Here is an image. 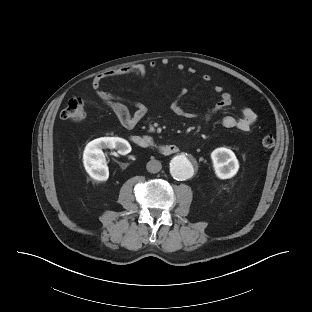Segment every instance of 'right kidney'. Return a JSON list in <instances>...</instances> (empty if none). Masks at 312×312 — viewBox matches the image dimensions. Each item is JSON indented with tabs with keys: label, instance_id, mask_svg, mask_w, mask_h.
Segmentation results:
<instances>
[{
	"label": "right kidney",
	"instance_id": "right-kidney-1",
	"mask_svg": "<svg viewBox=\"0 0 312 312\" xmlns=\"http://www.w3.org/2000/svg\"><path fill=\"white\" fill-rule=\"evenodd\" d=\"M117 149L121 155L131 152V146L125 139L119 137H102L89 142L83 153V163L86 172L97 181H106L109 170L102 149Z\"/></svg>",
	"mask_w": 312,
	"mask_h": 312
}]
</instances>
